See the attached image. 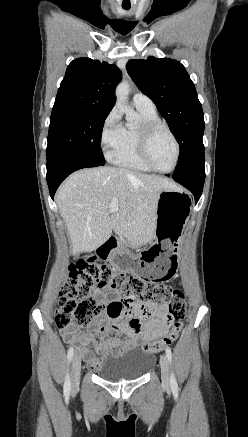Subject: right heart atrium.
I'll return each mask as SVG.
<instances>
[{
  "mask_svg": "<svg viewBox=\"0 0 248 437\" xmlns=\"http://www.w3.org/2000/svg\"><path fill=\"white\" fill-rule=\"evenodd\" d=\"M123 125L117 109H112L105 117L100 130V145L107 158H112L119 147Z\"/></svg>",
  "mask_w": 248,
  "mask_h": 437,
  "instance_id": "1",
  "label": "right heart atrium"
}]
</instances>
